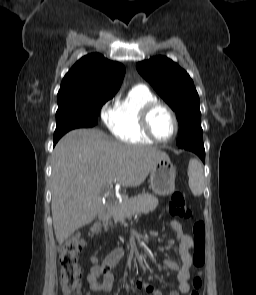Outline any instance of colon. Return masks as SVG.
<instances>
[{
	"label": "colon",
	"instance_id": "1",
	"mask_svg": "<svg viewBox=\"0 0 256 295\" xmlns=\"http://www.w3.org/2000/svg\"><path fill=\"white\" fill-rule=\"evenodd\" d=\"M167 212L192 224L193 235V265L199 270L193 280L191 295H200L202 278L200 270L205 264V225L202 219L196 218L187 207L181 192H174L166 208ZM84 247L82 238L75 235L68 239L60 248L59 266L61 287L64 295H81L82 269L78 263V255Z\"/></svg>",
	"mask_w": 256,
	"mask_h": 295
}]
</instances>
